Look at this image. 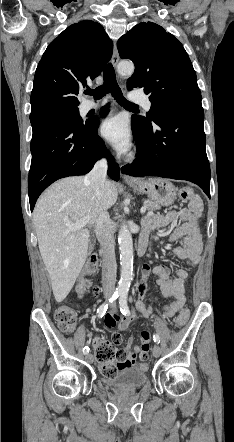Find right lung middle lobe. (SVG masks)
Wrapping results in <instances>:
<instances>
[{"label": "right lung middle lobe", "mask_w": 234, "mask_h": 442, "mask_svg": "<svg viewBox=\"0 0 234 442\" xmlns=\"http://www.w3.org/2000/svg\"><path fill=\"white\" fill-rule=\"evenodd\" d=\"M44 113H54V114H65L71 117L74 121L78 123H83L82 118L79 114L78 107H61V108H54L48 111H45Z\"/></svg>", "instance_id": "dd1d6c3e"}]
</instances>
